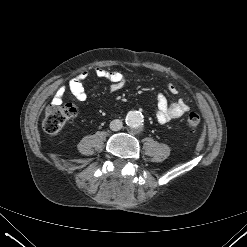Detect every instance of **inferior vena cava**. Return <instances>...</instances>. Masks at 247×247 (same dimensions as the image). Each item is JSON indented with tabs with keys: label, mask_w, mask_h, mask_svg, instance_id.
<instances>
[{
	"label": "inferior vena cava",
	"mask_w": 247,
	"mask_h": 247,
	"mask_svg": "<svg viewBox=\"0 0 247 247\" xmlns=\"http://www.w3.org/2000/svg\"><path fill=\"white\" fill-rule=\"evenodd\" d=\"M122 126H123L122 121L119 119H115L110 122V129L112 131H118L122 128Z\"/></svg>",
	"instance_id": "1"
}]
</instances>
